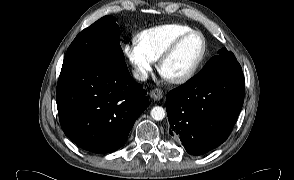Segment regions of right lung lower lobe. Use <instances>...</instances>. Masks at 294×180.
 <instances>
[{"instance_id": "obj_1", "label": "right lung lower lobe", "mask_w": 294, "mask_h": 180, "mask_svg": "<svg viewBox=\"0 0 294 180\" xmlns=\"http://www.w3.org/2000/svg\"><path fill=\"white\" fill-rule=\"evenodd\" d=\"M147 92L119 58H91L61 69L56 101L65 135L79 147L109 153L126 141L148 107Z\"/></svg>"}]
</instances>
